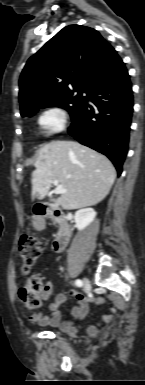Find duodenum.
I'll use <instances>...</instances> for the list:
<instances>
[{
  "label": "duodenum",
  "instance_id": "410a0bca",
  "mask_svg": "<svg viewBox=\"0 0 145 385\" xmlns=\"http://www.w3.org/2000/svg\"><path fill=\"white\" fill-rule=\"evenodd\" d=\"M35 215L39 219L36 224L38 228L44 227L45 222L42 221L44 217H49L58 224L59 231L53 241V249L56 252L62 251L70 239V228L65 213L52 203L40 202L37 204Z\"/></svg>",
  "mask_w": 145,
  "mask_h": 385
}]
</instances>
